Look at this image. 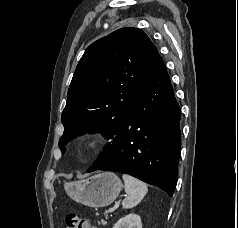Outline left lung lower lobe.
Returning a JSON list of instances; mask_svg holds the SVG:
<instances>
[{"mask_svg": "<svg viewBox=\"0 0 238 228\" xmlns=\"http://www.w3.org/2000/svg\"><path fill=\"white\" fill-rule=\"evenodd\" d=\"M180 117L169 75L158 55L120 126L113 156L87 172H122L173 195L181 147Z\"/></svg>", "mask_w": 238, "mask_h": 228, "instance_id": "left-lung-lower-lobe-1", "label": "left lung lower lobe"}]
</instances>
